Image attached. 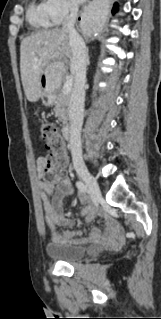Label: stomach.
I'll use <instances>...</instances> for the list:
<instances>
[{
  "instance_id": "1",
  "label": "stomach",
  "mask_w": 161,
  "mask_h": 319,
  "mask_svg": "<svg viewBox=\"0 0 161 319\" xmlns=\"http://www.w3.org/2000/svg\"><path fill=\"white\" fill-rule=\"evenodd\" d=\"M64 68L60 63H50L42 72L40 86L42 96L52 99V94L60 86Z\"/></svg>"
}]
</instances>
